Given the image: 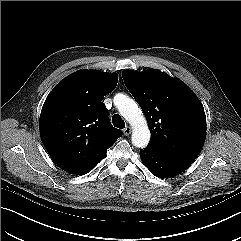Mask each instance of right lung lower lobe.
Instances as JSON below:
<instances>
[{"label":"right lung lower lobe","instance_id":"obj_1","mask_svg":"<svg viewBox=\"0 0 241 241\" xmlns=\"http://www.w3.org/2000/svg\"><path fill=\"white\" fill-rule=\"evenodd\" d=\"M95 166H96V164L93 165V166H91V167H89V168H87V169H85V170H83V171H81L80 173H78V175L87 174V173L90 172Z\"/></svg>","mask_w":241,"mask_h":241}]
</instances>
